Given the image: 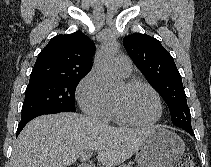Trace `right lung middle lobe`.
<instances>
[{
  "mask_svg": "<svg viewBox=\"0 0 211 167\" xmlns=\"http://www.w3.org/2000/svg\"><path fill=\"white\" fill-rule=\"evenodd\" d=\"M82 78L30 81L25 92L21 119L48 111L75 112V89Z\"/></svg>",
  "mask_w": 211,
  "mask_h": 167,
  "instance_id": "obj_1",
  "label": "right lung middle lobe"
}]
</instances>
